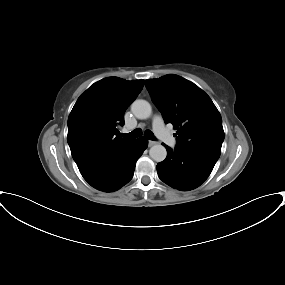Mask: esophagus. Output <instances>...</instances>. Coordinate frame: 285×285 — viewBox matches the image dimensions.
I'll return each instance as SVG.
<instances>
[{"instance_id":"1","label":"esophagus","mask_w":285,"mask_h":285,"mask_svg":"<svg viewBox=\"0 0 285 285\" xmlns=\"http://www.w3.org/2000/svg\"><path fill=\"white\" fill-rule=\"evenodd\" d=\"M156 144H157L156 141H152V140H149V141H148L149 147H151V146H153V145H156Z\"/></svg>"}]
</instances>
